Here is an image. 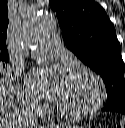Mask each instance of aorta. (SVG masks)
<instances>
[{
	"label": "aorta",
	"instance_id": "aorta-1",
	"mask_svg": "<svg viewBox=\"0 0 125 128\" xmlns=\"http://www.w3.org/2000/svg\"><path fill=\"white\" fill-rule=\"evenodd\" d=\"M55 24V17L49 12L39 16L28 17L22 24V44L31 46L40 43L52 32Z\"/></svg>",
	"mask_w": 125,
	"mask_h": 128
}]
</instances>
